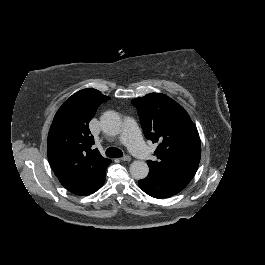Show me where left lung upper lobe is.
Listing matches in <instances>:
<instances>
[{"mask_svg":"<svg viewBox=\"0 0 265 265\" xmlns=\"http://www.w3.org/2000/svg\"><path fill=\"white\" fill-rule=\"evenodd\" d=\"M145 137L158 143L156 161H148L150 172L164 177L192 179L201 157L196 126L185 109L168 96L151 93L135 98Z\"/></svg>","mask_w":265,"mask_h":265,"instance_id":"left-lung-upper-lobe-1","label":"left lung upper lobe"}]
</instances>
